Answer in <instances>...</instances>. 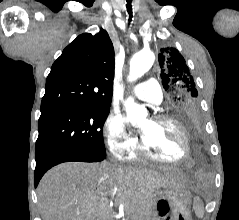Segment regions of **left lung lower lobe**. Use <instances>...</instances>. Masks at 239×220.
I'll list each match as a JSON object with an SVG mask.
<instances>
[{"label":"left lung lower lobe","mask_w":239,"mask_h":220,"mask_svg":"<svg viewBox=\"0 0 239 220\" xmlns=\"http://www.w3.org/2000/svg\"><path fill=\"white\" fill-rule=\"evenodd\" d=\"M178 120L190 131L194 138L199 136L201 131V117L198 112L185 113L183 116L178 117Z\"/></svg>","instance_id":"left-lung-lower-lobe-1"}]
</instances>
